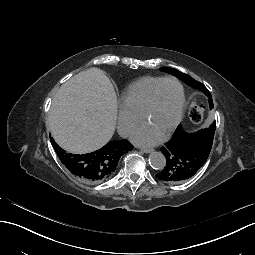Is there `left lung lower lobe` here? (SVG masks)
<instances>
[{"label": "left lung lower lobe", "instance_id": "obj_1", "mask_svg": "<svg viewBox=\"0 0 255 255\" xmlns=\"http://www.w3.org/2000/svg\"><path fill=\"white\" fill-rule=\"evenodd\" d=\"M204 146L199 134L173 135L169 142L159 147L166 157V162L156 177L173 184L195 176L210 155L205 151Z\"/></svg>", "mask_w": 255, "mask_h": 255}]
</instances>
